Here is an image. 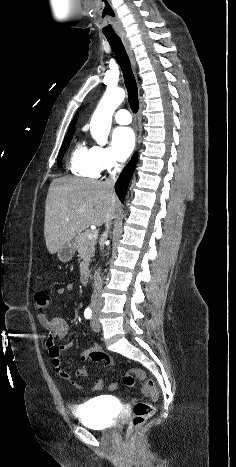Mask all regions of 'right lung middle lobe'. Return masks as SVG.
Instances as JSON below:
<instances>
[{
    "instance_id": "dd1d6c3e",
    "label": "right lung middle lobe",
    "mask_w": 236,
    "mask_h": 467,
    "mask_svg": "<svg viewBox=\"0 0 236 467\" xmlns=\"http://www.w3.org/2000/svg\"><path fill=\"white\" fill-rule=\"evenodd\" d=\"M74 133H71V134H67L66 135V138L60 148V152H59V155H58V165L61 164V159L64 155V152L67 150L69 144H70V140L72 139V136H73Z\"/></svg>"
}]
</instances>
